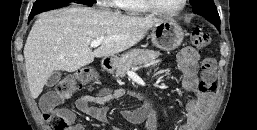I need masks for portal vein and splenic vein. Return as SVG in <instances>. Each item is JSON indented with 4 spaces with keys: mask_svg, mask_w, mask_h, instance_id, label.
<instances>
[{
    "mask_svg": "<svg viewBox=\"0 0 257 130\" xmlns=\"http://www.w3.org/2000/svg\"><path fill=\"white\" fill-rule=\"evenodd\" d=\"M102 42H104V40H94V41L91 42L90 47H91V48H96V47H98Z\"/></svg>",
    "mask_w": 257,
    "mask_h": 130,
    "instance_id": "portal-vein-and-splenic-vein-1",
    "label": "portal vein and splenic vein"
}]
</instances>
